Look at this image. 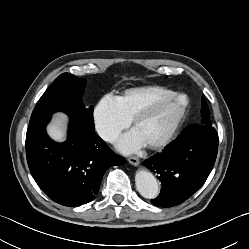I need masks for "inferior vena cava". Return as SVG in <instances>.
Returning a JSON list of instances; mask_svg holds the SVG:
<instances>
[{
	"mask_svg": "<svg viewBox=\"0 0 249 249\" xmlns=\"http://www.w3.org/2000/svg\"><path fill=\"white\" fill-rule=\"evenodd\" d=\"M101 137L108 142H114L116 140V134L111 132H103L101 133Z\"/></svg>",
	"mask_w": 249,
	"mask_h": 249,
	"instance_id": "inferior-vena-cava-1",
	"label": "inferior vena cava"
}]
</instances>
